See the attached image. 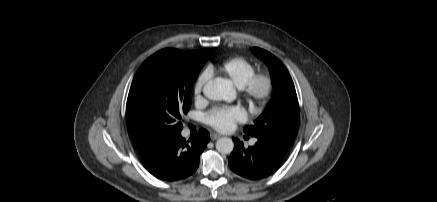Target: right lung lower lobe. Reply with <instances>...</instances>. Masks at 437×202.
Wrapping results in <instances>:
<instances>
[{
    "label": "right lung lower lobe",
    "mask_w": 437,
    "mask_h": 202,
    "mask_svg": "<svg viewBox=\"0 0 437 202\" xmlns=\"http://www.w3.org/2000/svg\"><path fill=\"white\" fill-rule=\"evenodd\" d=\"M209 141L210 136L205 129H200L190 141H186L179 132L142 155V163L158 179L183 180L195 173L199 156Z\"/></svg>",
    "instance_id": "obj_1"
}]
</instances>
